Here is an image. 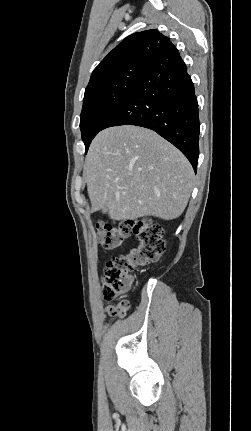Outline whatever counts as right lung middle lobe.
I'll use <instances>...</instances> for the list:
<instances>
[{
	"instance_id": "obj_1",
	"label": "right lung middle lobe",
	"mask_w": 251,
	"mask_h": 431,
	"mask_svg": "<svg viewBox=\"0 0 251 431\" xmlns=\"http://www.w3.org/2000/svg\"><path fill=\"white\" fill-rule=\"evenodd\" d=\"M147 65L148 61L144 60L129 63L87 86L80 116L86 152L110 115L137 85Z\"/></svg>"
}]
</instances>
